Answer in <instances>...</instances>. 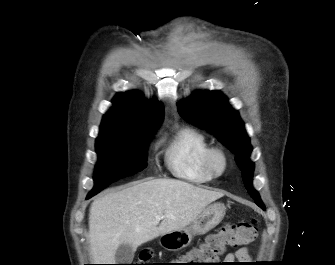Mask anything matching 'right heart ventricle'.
Returning a JSON list of instances; mask_svg holds the SVG:
<instances>
[{
  "label": "right heart ventricle",
  "mask_w": 335,
  "mask_h": 265,
  "mask_svg": "<svg viewBox=\"0 0 335 265\" xmlns=\"http://www.w3.org/2000/svg\"><path fill=\"white\" fill-rule=\"evenodd\" d=\"M210 148L202 132L192 127H183L165 146L166 165L179 179L194 184L208 183L215 178L204 165L205 154Z\"/></svg>",
  "instance_id": "right-heart-ventricle-1"
}]
</instances>
